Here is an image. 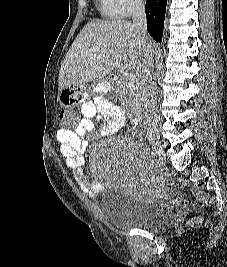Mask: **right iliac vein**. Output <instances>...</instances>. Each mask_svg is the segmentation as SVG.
<instances>
[{
	"label": "right iliac vein",
	"mask_w": 227,
	"mask_h": 267,
	"mask_svg": "<svg viewBox=\"0 0 227 267\" xmlns=\"http://www.w3.org/2000/svg\"><path fill=\"white\" fill-rule=\"evenodd\" d=\"M149 143L152 149L155 151L156 155L158 156L159 161L165 165V152L162 146L160 139L157 136H151L149 138Z\"/></svg>",
	"instance_id": "63e3f726"
}]
</instances>
